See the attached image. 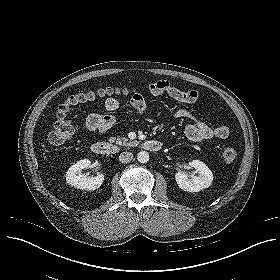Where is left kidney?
<instances>
[{"label":"left kidney","mask_w":280,"mask_h":280,"mask_svg":"<svg viewBox=\"0 0 280 280\" xmlns=\"http://www.w3.org/2000/svg\"><path fill=\"white\" fill-rule=\"evenodd\" d=\"M183 166L184 168H194L198 176L188 178V175L184 172L176 173L175 179L180 189L188 192H199L212 184L213 173L204 162L193 160L189 162V164H184Z\"/></svg>","instance_id":"1"}]
</instances>
